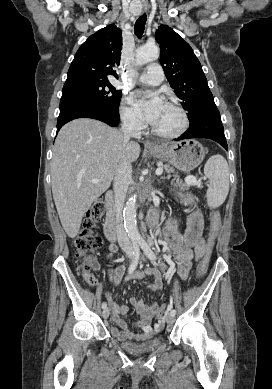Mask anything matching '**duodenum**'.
<instances>
[{"instance_id": "duodenum-1", "label": "duodenum", "mask_w": 272, "mask_h": 389, "mask_svg": "<svg viewBox=\"0 0 272 389\" xmlns=\"http://www.w3.org/2000/svg\"><path fill=\"white\" fill-rule=\"evenodd\" d=\"M114 193L108 191L105 194L104 202L107 207L108 213L103 224L104 234L108 240H116V215L113 208ZM156 216H152V222L154 223Z\"/></svg>"}]
</instances>
